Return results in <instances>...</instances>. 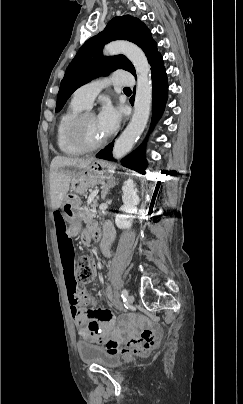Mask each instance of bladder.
I'll return each mask as SVG.
<instances>
[{"instance_id": "bladder-1", "label": "bladder", "mask_w": 243, "mask_h": 404, "mask_svg": "<svg viewBox=\"0 0 243 404\" xmlns=\"http://www.w3.org/2000/svg\"><path fill=\"white\" fill-rule=\"evenodd\" d=\"M77 352L82 362L95 364L107 369H116L122 365L119 355L112 353L105 348L91 343H79Z\"/></svg>"}]
</instances>
